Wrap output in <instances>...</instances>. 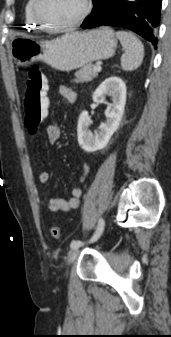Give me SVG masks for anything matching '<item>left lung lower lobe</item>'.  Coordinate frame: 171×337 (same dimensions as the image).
<instances>
[{
  "instance_id": "1",
  "label": "left lung lower lobe",
  "mask_w": 171,
  "mask_h": 337,
  "mask_svg": "<svg viewBox=\"0 0 171 337\" xmlns=\"http://www.w3.org/2000/svg\"><path fill=\"white\" fill-rule=\"evenodd\" d=\"M94 8L82 28L116 26L130 29L156 48L162 0H93Z\"/></svg>"
}]
</instances>
